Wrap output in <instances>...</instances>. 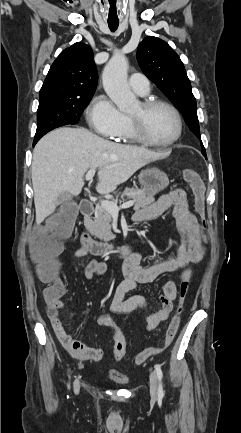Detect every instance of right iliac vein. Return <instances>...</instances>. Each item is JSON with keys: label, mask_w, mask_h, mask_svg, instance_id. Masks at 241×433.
I'll list each match as a JSON object with an SVG mask.
<instances>
[{"label": "right iliac vein", "mask_w": 241, "mask_h": 433, "mask_svg": "<svg viewBox=\"0 0 241 433\" xmlns=\"http://www.w3.org/2000/svg\"><path fill=\"white\" fill-rule=\"evenodd\" d=\"M79 389H80L79 380H76L75 383H74V390H75V393H78V392H79Z\"/></svg>", "instance_id": "obj_1"}]
</instances>
